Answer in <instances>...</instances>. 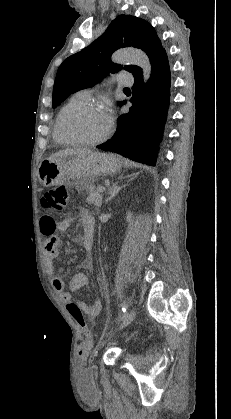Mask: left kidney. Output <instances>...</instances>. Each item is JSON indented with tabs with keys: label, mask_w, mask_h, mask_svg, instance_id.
Returning <instances> with one entry per match:
<instances>
[{
	"label": "left kidney",
	"mask_w": 231,
	"mask_h": 419,
	"mask_svg": "<svg viewBox=\"0 0 231 419\" xmlns=\"http://www.w3.org/2000/svg\"><path fill=\"white\" fill-rule=\"evenodd\" d=\"M130 220H131V213L128 212V214H127V221H130Z\"/></svg>",
	"instance_id": "left-kidney-1"
}]
</instances>
